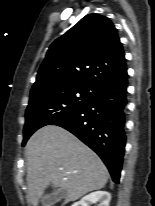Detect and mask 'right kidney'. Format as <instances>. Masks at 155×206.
Returning a JSON list of instances; mask_svg holds the SVG:
<instances>
[{
    "mask_svg": "<svg viewBox=\"0 0 155 206\" xmlns=\"http://www.w3.org/2000/svg\"><path fill=\"white\" fill-rule=\"evenodd\" d=\"M110 200V193L106 191H96L86 195L80 201L74 203L72 206H109Z\"/></svg>",
    "mask_w": 155,
    "mask_h": 206,
    "instance_id": "ca27d5eb",
    "label": "right kidney"
}]
</instances>
